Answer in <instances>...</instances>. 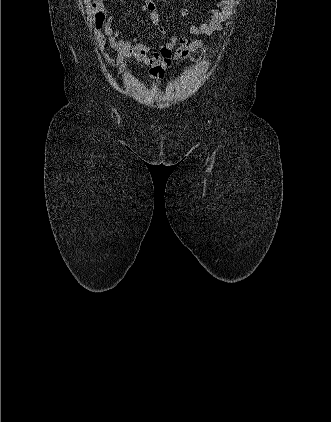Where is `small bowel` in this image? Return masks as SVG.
<instances>
[{
  "label": "small bowel",
  "mask_w": 331,
  "mask_h": 422,
  "mask_svg": "<svg viewBox=\"0 0 331 422\" xmlns=\"http://www.w3.org/2000/svg\"><path fill=\"white\" fill-rule=\"evenodd\" d=\"M104 1L94 0L92 6L96 25L101 30L96 34V39L105 60L118 73H122L125 70V58L134 56L149 68L150 77L155 79L164 78L173 61L188 59L203 46V40L191 41V36H208L221 30L236 5V0L217 1L204 21L191 26L187 36H180L161 22L155 0H144L142 11L149 13L156 30L168 38L166 43L150 45L144 43L138 35L131 41L122 39L120 30L113 26V17L106 13ZM188 14V9H183L181 12L182 17ZM106 45L116 51L115 59L104 51Z\"/></svg>",
  "instance_id": "obj_1"
}]
</instances>
